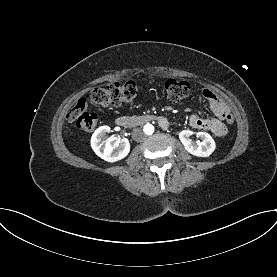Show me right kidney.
<instances>
[{
    "instance_id": "ca27d5eb",
    "label": "right kidney",
    "mask_w": 277,
    "mask_h": 277,
    "mask_svg": "<svg viewBox=\"0 0 277 277\" xmlns=\"http://www.w3.org/2000/svg\"><path fill=\"white\" fill-rule=\"evenodd\" d=\"M111 128L109 126H101L95 130L91 137V147L97 156L107 162H116L125 158L130 152V143L128 139L117 138L111 136L106 138Z\"/></svg>"
}]
</instances>
